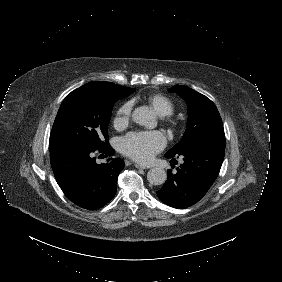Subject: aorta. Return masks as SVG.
<instances>
[{
  "label": "aorta",
  "mask_w": 282,
  "mask_h": 282,
  "mask_svg": "<svg viewBox=\"0 0 282 282\" xmlns=\"http://www.w3.org/2000/svg\"><path fill=\"white\" fill-rule=\"evenodd\" d=\"M132 120L149 129H153L156 125V118L150 111L148 106H141L132 112ZM167 179L166 171L163 168L155 167L148 171L147 180L152 185H162Z\"/></svg>",
  "instance_id": "762f6f07"
}]
</instances>
